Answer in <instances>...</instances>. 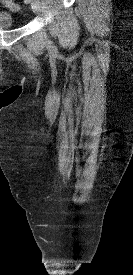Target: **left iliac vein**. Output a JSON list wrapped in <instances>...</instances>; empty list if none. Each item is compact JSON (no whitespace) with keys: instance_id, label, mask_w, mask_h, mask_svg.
<instances>
[{"instance_id":"obj_1","label":"left iliac vein","mask_w":133,"mask_h":275,"mask_svg":"<svg viewBox=\"0 0 133 275\" xmlns=\"http://www.w3.org/2000/svg\"><path fill=\"white\" fill-rule=\"evenodd\" d=\"M31 6H32V10L35 13H39L41 10V4H40V0H32L31 1Z\"/></svg>"}]
</instances>
